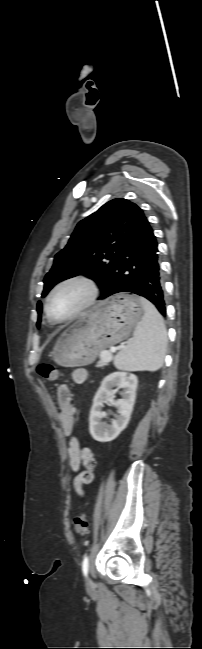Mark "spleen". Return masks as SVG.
I'll use <instances>...</instances> for the list:
<instances>
[{"label":"spleen","instance_id":"spleen-1","mask_svg":"<svg viewBox=\"0 0 202 649\" xmlns=\"http://www.w3.org/2000/svg\"><path fill=\"white\" fill-rule=\"evenodd\" d=\"M144 309L132 341L115 357L114 365L126 371H156L161 368L167 346V333L161 314L147 299L140 298Z\"/></svg>","mask_w":202,"mask_h":649}]
</instances>
